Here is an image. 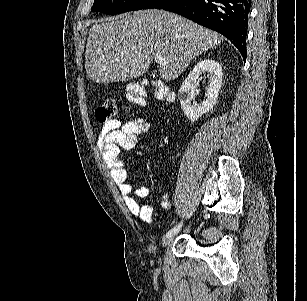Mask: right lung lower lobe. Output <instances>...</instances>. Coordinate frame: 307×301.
<instances>
[{"instance_id":"1","label":"right lung lower lobe","mask_w":307,"mask_h":301,"mask_svg":"<svg viewBox=\"0 0 307 301\" xmlns=\"http://www.w3.org/2000/svg\"><path fill=\"white\" fill-rule=\"evenodd\" d=\"M164 9L226 36L246 59L251 0H153L143 9Z\"/></svg>"}]
</instances>
